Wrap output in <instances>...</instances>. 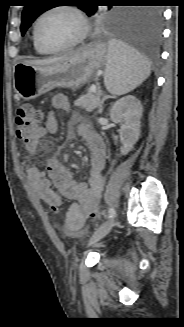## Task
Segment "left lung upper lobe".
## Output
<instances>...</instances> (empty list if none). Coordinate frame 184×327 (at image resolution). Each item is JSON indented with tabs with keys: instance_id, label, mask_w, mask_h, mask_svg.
<instances>
[{
	"instance_id": "5c2ea615",
	"label": "left lung upper lobe",
	"mask_w": 184,
	"mask_h": 327,
	"mask_svg": "<svg viewBox=\"0 0 184 327\" xmlns=\"http://www.w3.org/2000/svg\"><path fill=\"white\" fill-rule=\"evenodd\" d=\"M50 1L48 0H29L22 12L21 35L23 36L32 22L44 11L50 9ZM108 11L102 12L98 6L83 5L81 10L89 17H95L97 22L112 29H122L127 26L135 18L137 10L113 9L108 6Z\"/></svg>"
}]
</instances>
